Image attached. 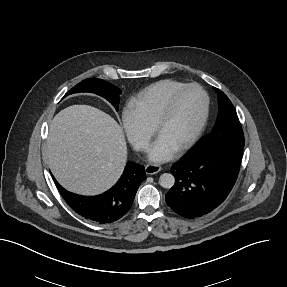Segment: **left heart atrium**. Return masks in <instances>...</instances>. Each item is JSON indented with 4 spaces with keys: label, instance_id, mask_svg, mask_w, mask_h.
Instances as JSON below:
<instances>
[{
    "label": "left heart atrium",
    "instance_id": "39dd6f15",
    "mask_svg": "<svg viewBox=\"0 0 287 287\" xmlns=\"http://www.w3.org/2000/svg\"><path fill=\"white\" fill-rule=\"evenodd\" d=\"M175 149L161 139H157L149 150V158L153 161H165L172 157Z\"/></svg>",
    "mask_w": 287,
    "mask_h": 287
}]
</instances>
